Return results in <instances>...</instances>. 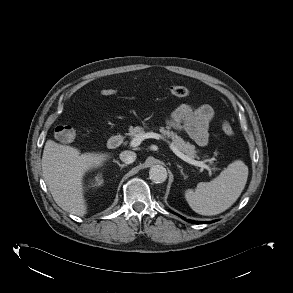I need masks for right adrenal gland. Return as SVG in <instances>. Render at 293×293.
<instances>
[{"instance_id": "1", "label": "right adrenal gland", "mask_w": 293, "mask_h": 293, "mask_svg": "<svg viewBox=\"0 0 293 293\" xmlns=\"http://www.w3.org/2000/svg\"><path fill=\"white\" fill-rule=\"evenodd\" d=\"M113 162H115L121 169L126 167L127 165L126 164H121L119 161L117 160H113Z\"/></svg>"}]
</instances>
